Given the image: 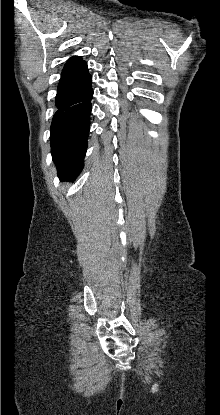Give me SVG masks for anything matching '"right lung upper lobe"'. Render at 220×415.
Wrapping results in <instances>:
<instances>
[{
	"mask_svg": "<svg viewBox=\"0 0 220 415\" xmlns=\"http://www.w3.org/2000/svg\"><path fill=\"white\" fill-rule=\"evenodd\" d=\"M80 61H82V59L80 57H77V56L72 57L71 59H69L67 61V63L65 64L64 68L69 67V66H72V65H74V64H76V63H78Z\"/></svg>",
	"mask_w": 220,
	"mask_h": 415,
	"instance_id": "1",
	"label": "right lung upper lobe"
}]
</instances>
